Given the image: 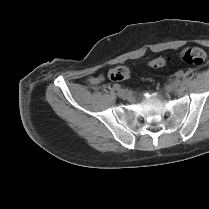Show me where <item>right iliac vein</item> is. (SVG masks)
Returning <instances> with one entry per match:
<instances>
[{
  "mask_svg": "<svg viewBox=\"0 0 209 209\" xmlns=\"http://www.w3.org/2000/svg\"><path fill=\"white\" fill-rule=\"evenodd\" d=\"M117 95H118V97L123 98V99L127 97V94H126L125 90H123V89H119L117 91Z\"/></svg>",
  "mask_w": 209,
  "mask_h": 209,
  "instance_id": "obj_1",
  "label": "right iliac vein"
}]
</instances>
